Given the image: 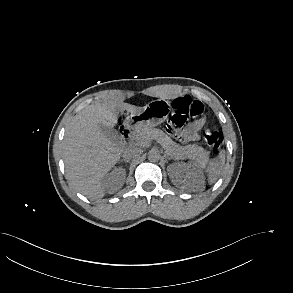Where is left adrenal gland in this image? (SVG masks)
Masks as SVG:
<instances>
[{"mask_svg": "<svg viewBox=\"0 0 293 293\" xmlns=\"http://www.w3.org/2000/svg\"><path fill=\"white\" fill-rule=\"evenodd\" d=\"M167 158H168V160H171L172 159V157H169V156Z\"/></svg>", "mask_w": 293, "mask_h": 293, "instance_id": "1", "label": "left adrenal gland"}]
</instances>
